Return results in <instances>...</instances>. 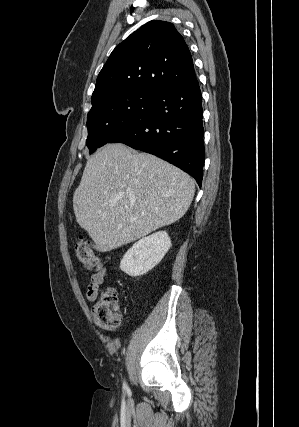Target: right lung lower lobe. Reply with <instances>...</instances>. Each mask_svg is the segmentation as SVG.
<instances>
[{"mask_svg": "<svg viewBox=\"0 0 299 427\" xmlns=\"http://www.w3.org/2000/svg\"><path fill=\"white\" fill-rule=\"evenodd\" d=\"M201 91L197 79L157 92L147 110L108 143H124L158 156L195 178L204 165Z\"/></svg>", "mask_w": 299, "mask_h": 427, "instance_id": "98d812e1", "label": "right lung lower lobe"}]
</instances>
